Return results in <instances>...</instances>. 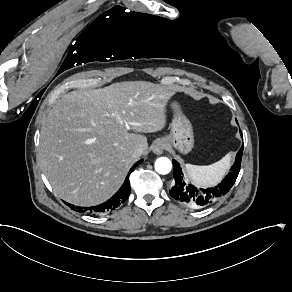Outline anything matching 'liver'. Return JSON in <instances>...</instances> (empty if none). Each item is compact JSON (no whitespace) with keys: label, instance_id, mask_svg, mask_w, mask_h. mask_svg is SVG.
Wrapping results in <instances>:
<instances>
[{"label":"liver","instance_id":"6515ba94","mask_svg":"<svg viewBox=\"0 0 292 292\" xmlns=\"http://www.w3.org/2000/svg\"><path fill=\"white\" fill-rule=\"evenodd\" d=\"M175 93L141 81L64 95L40 133V166L55 193L81 206L111 197L137 161L135 149L148 152L135 133L165 130Z\"/></svg>","mask_w":292,"mask_h":292}]
</instances>
